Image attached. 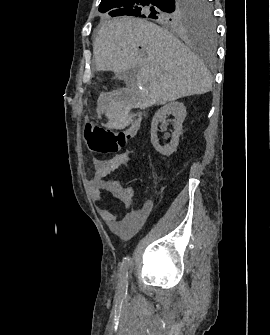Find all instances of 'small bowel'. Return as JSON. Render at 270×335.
Masks as SVG:
<instances>
[{"mask_svg": "<svg viewBox=\"0 0 270 335\" xmlns=\"http://www.w3.org/2000/svg\"><path fill=\"white\" fill-rule=\"evenodd\" d=\"M130 154L123 152L108 160L93 161L94 172L91 178V195L94 199H101V191L113 194L125 208V213L119 217L117 213L99 208L98 214L107 223L109 228L123 238L137 233L145 221V215L134 207V191L130 186H122L117 181L106 180V177L121 165L130 161Z\"/></svg>", "mask_w": 270, "mask_h": 335, "instance_id": "1", "label": "small bowel"}]
</instances>
